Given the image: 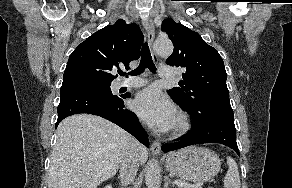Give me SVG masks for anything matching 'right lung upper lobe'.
<instances>
[{"mask_svg":"<svg viewBox=\"0 0 292 188\" xmlns=\"http://www.w3.org/2000/svg\"><path fill=\"white\" fill-rule=\"evenodd\" d=\"M143 34L136 24L118 19L79 44L69 57L64 80L93 78L112 81L111 71L119 66L129 68V62L140 55Z\"/></svg>","mask_w":292,"mask_h":188,"instance_id":"right-lung-upper-lobe-1","label":"right lung upper lobe"}]
</instances>
